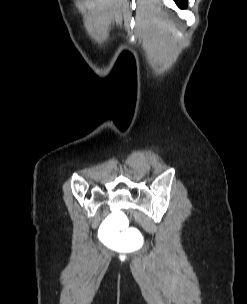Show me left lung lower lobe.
Returning <instances> with one entry per match:
<instances>
[{
    "label": "left lung lower lobe",
    "instance_id": "1",
    "mask_svg": "<svg viewBox=\"0 0 247 304\" xmlns=\"http://www.w3.org/2000/svg\"><path fill=\"white\" fill-rule=\"evenodd\" d=\"M176 2V4L180 7V8H186V1L187 0H174Z\"/></svg>",
    "mask_w": 247,
    "mask_h": 304
}]
</instances>
